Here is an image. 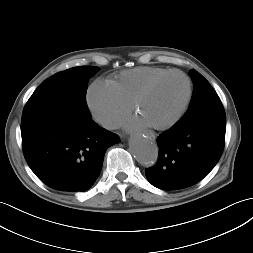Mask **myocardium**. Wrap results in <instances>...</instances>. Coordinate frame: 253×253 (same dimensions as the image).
<instances>
[{
	"instance_id": "f54148a6",
	"label": "myocardium",
	"mask_w": 253,
	"mask_h": 253,
	"mask_svg": "<svg viewBox=\"0 0 253 253\" xmlns=\"http://www.w3.org/2000/svg\"><path fill=\"white\" fill-rule=\"evenodd\" d=\"M174 74L180 75L185 79L186 84H187L186 96L184 98V101H183L180 109L178 110V112L175 114V116L172 119H170L169 121H167L166 123H163V124L150 125L152 128H154L156 130L169 129V128L173 127L174 125H176L181 120V118L184 116V114L187 111V108L189 106V103L191 101L192 91H193L192 81H191L190 77L185 72L178 70V69L168 70L167 72L155 77L146 86H144L139 91V93L135 96V98L133 99L132 104H131L132 110L137 112L140 102L153 90V88L160 81H162L166 77L174 75Z\"/></svg>"
}]
</instances>
